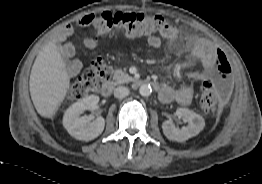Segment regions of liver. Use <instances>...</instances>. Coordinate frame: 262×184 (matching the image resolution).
Listing matches in <instances>:
<instances>
[{"instance_id": "liver-1", "label": "liver", "mask_w": 262, "mask_h": 184, "mask_svg": "<svg viewBox=\"0 0 262 184\" xmlns=\"http://www.w3.org/2000/svg\"><path fill=\"white\" fill-rule=\"evenodd\" d=\"M29 86L37 112L45 118L53 117L70 87V77L55 40L38 53L32 66Z\"/></svg>"}]
</instances>
